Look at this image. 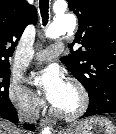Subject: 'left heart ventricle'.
Wrapping results in <instances>:
<instances>
[{"mask_svg":"<svg viewBox=\"0 0 116 134\" xmlns=\"http://www.w3.org/2000/svg\"><path fill=\"white\" fill-rule=\"evenodd\" d=\"M76 105H77V96L72 89L67 87L65 95L63 96L61 101L56 105V107L63 111H71L76 107Z\"/></svg>","mask_w":116,"mask_h":134,"instance_id":"left-heart-ventricle-1","label":"left heart ventricle"}]
</instances>
